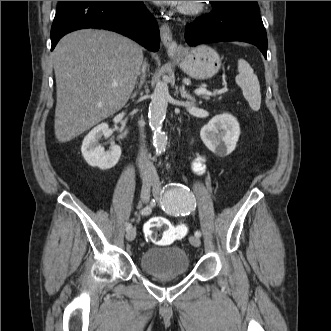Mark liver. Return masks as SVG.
<instances>
[{
  "instance_id": "obj_1",
  "label": "liver",
  "mask_w": 331,
  "mask_h": 331,
  "mask_svg": "<svg viewBox=\"0 0 331 331\" xmlns=\"http://www.w3.org/2000/svg\"><path fill=\"white\" fill-rule=\"evenodd\" d=\"M142 60V47L114 32L82 29L64 36L53 51L56 139L68 142L122 109Z\"/></svg>"
}]
</instances>
